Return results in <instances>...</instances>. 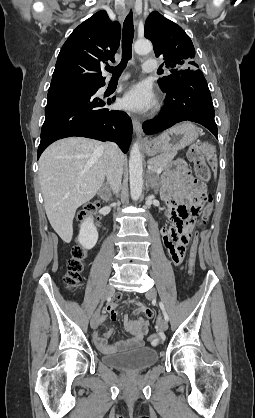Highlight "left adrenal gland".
I'll return each mask as SVG.
<instances>
[{"mask_svg": "<svg viewBox=\"0 0 255 418\" xmlns=\"http://www.w3.org/2000/svg\"><path fill=\"white\" fill-rule=\"evenodd\" d=\"M148 173H151V171H150V170H148ZM149 182H150V187H151L152 189H154V192H155V193H157L158 187H157V182H156V179H150V180H149Z\"/></svg>", "mask_w": 255, "mask_h": 418, "instance_id": "left-adrenal-gland-1", "label": "left adrenal gland"}]
</instances>
